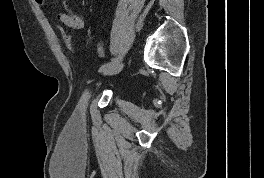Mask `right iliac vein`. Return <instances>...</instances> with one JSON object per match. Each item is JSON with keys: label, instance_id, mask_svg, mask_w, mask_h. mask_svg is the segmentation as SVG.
<instances>
[{"label": "right iliac vein", "instance_id": "63e3f726", "mask_svg": "<svg viewBox=\"0 0 264 178\" xmlns=\"http://www.w3.org/2000/svg\"><path fill=\"white\" fill-rule=\"evenodd\" d=\"M123 66H124L123 63L119 62V63L115 64L114 66H112L111 68L105 70L103 72V74L105 76H111V75L117 74L118 72H120L122 70Z\"/></svg>", "mask_w": 264, "mask_h": 178}]
</instances>
